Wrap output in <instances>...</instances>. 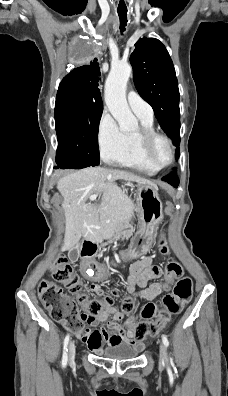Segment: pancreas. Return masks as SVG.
Segmentation results:
<instances>
[{
  "instance_id": "1",
  "label": "pancreas",
  "mask_w": 228,
  "mask_h": 396,
  "mask_svg": "<svg viewBox=\"0 0 228 396\" xmlns=\"http://www.w3.org/2000/svg\"><path fill=\"white\" fill-rule=\"evenodd\" d=\"M120 219H123V216H120ZM117 222H119V221H115V220H112L111 221V225H112V228H111V233L115 230V226H116V223ZM121 230H125L124 231V233H121V232H118L117 233V237H123V238H120V239H118V238H113V239H110L111 241H109V242H116L117 240H127V238L126 237H130L131 236V234L133 233V228L130 226V225H128L127 227H121L120 228ZM124 234H126V235H124ZM113 240V241H112ZM116 240V241H115ZM124 242V241H123ZM104 244H108V241H104Z\"/></svg>"
}]
</instances>
